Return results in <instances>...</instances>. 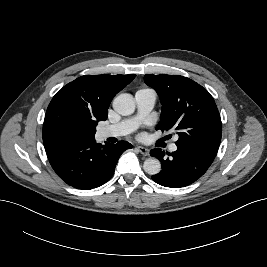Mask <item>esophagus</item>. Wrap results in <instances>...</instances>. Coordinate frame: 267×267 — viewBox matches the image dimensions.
<instances>
[{
  "instance_id": "1",
  "label": "esophagus",
  "mask_w": 267,
  "mask_h": 267,
  "mask_svg": "<svg viewBox=\"0 0 267 267\" xmlns=\"http://www.w3.org/2000/svg\"><path fill=\"white\" fill-rule=\"evenodd\" d=\"M137 149L144 156H149V150L146 147L138 146Z\"/></svg>"
}]
</instances>
